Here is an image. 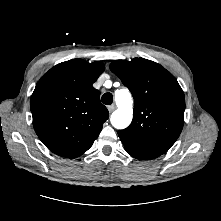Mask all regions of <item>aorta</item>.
Returning a JSON list of instances; mask_svg holds the SVG:
<instances>
[{"instance_id": "762f6f07", "label": "aorta", "mask_w": 221, "mask_h": 221, "mask_svg": "<svg viewBox=\"0 0 221 221\" xmlns=\"http://www.w3.org/2000/svg\"><path fill=\"white\" fill-rule=\"evenodd\" d=\"M117 109L111 115V124L116 129L128 127L133 118L132 97L128 89H120L115 92Z\"/></svg>"}]
</instances>
